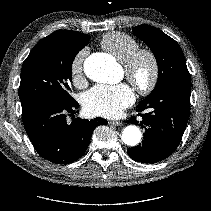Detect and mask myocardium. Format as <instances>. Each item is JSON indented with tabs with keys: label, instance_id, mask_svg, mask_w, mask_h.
Listing matches in <instances>:
<instances>
[{
	"label": "myocardium",
	"instance_id": "myocardium-1",
	"mask_svg": "<svg viewBox=\"0 0 211 211\" xmlns=\"http://www.w3.org/2000/svg\"><path fill=\"white\" fill-rule=\"evenodd\" d=\"M143 60L150 65L149 75L145 80L138 77V67ZM127 79L143 95L150 94L157 86L160 78V63L156 53L147 47L137 48L124 62Z\"/></svg>",
	"mask_w": 211,
	"mask_h": 211
}]
</instances>
